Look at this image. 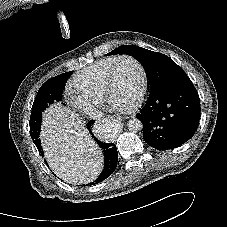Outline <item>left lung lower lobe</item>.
I'll list each match as a JSON object with an SVG mask.
<instances>
[{
    "label": "left lung lower lobe",
    "mask_w": 227,
    "mask_h": 227,
    "mask_svg": "<svg viewBox=\"0 0 227 227\" xmlns=\"http://www.w3.org/2000/svg\"><path fill=\"white\" fill-rule=\"evenodd\" d=\"M136 118L143 124L145 142L158 150L179 147L195 133L200 100L191 80L184 76L150 92Z\"/></svg>",
    "instance_id": "left-lung-lower-lobe-1"
}]
</instances>
